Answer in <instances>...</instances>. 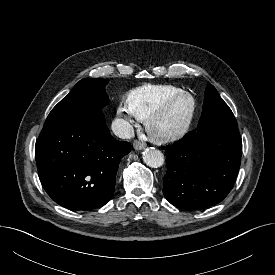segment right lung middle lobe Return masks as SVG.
Masks as SVG:
<instances>
[{
    "label": "right lung middle lobe",
    "instance_id": "obj_1",
    "mask_svg": "<svg viewBox=\"0 0 275 275\" xmlns=\"http://www.w3.org/2000/svg\"><path fill=\"white\" fill-rule=\"evenodd\" d=\"M107 80L86 78L80 80L48 115L44 127L83 121L101 112L107 104Z\"/></svg>",
    "mask_w": 275,
    "mask_h": 275
}]
</instances>
